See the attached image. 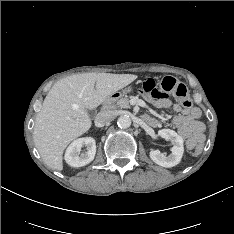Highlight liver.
I'll list each match as a JSON object with an SVG mask.
<instances>
[{"mask_svg":"<svg viewBox=\"0 0 234 234\" xmlns=\"http://www.w3.org/2000/svg\"><path fill=\"white\" fill-rule=\"evenodd\" d=\"M136 78L134 74L83 73L56 82L43 101L33 131L44 163L61 171L67 145L92 125L86 109L98 107Z\"/></svg>","mask_w":234,"mask_h":234,"instance_id":"liver-1","label":"liver"}]
</instances>
